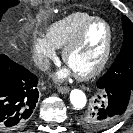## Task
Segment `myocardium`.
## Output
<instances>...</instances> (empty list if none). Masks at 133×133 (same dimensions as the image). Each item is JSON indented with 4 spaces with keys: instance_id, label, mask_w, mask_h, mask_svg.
I'll return each mask as SVG.
<instances>
[{
    "instance_id": "1",
    "label": "myocardium",
    "mask_w": 133,
    "mask_h": 133,
    "mask_svg": "<svg viewBox=\"0 0 133 133\" xmlns=\"http://www.w3.org/2000/svg\"><path fill=\"white\" fill-rule=\"evenodd\" d=\"M95 23H102L107 28L108 37H107L106 47L102 58L99 60V62L96 64L94 68L85 73H75V76L79 80H89L98 76L105 69L111 56L112 45H113V29L107 20L101 17H93L92 19L87 21L80 28L77 34L65 45L62 52L63 61L65 62V64L68 65V59L70 54L81 44L89 28Z\"/></svg>"
}]
</instances>
